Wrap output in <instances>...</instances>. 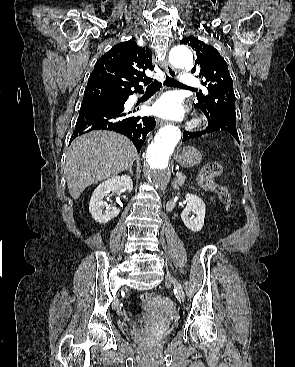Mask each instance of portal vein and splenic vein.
Here are the masks:
<instances>
[{"mask_svg":"<svg viewBox=\"0 0 295 367\" xmlns=\"http://www.w3.org/2000/svg\"><path fill=\"white\" fill-rule=\"evenodd\" d=\"M181 175H182V173H181V172H177V173H176V176H177V177H179V176H181Z\"/></svg>","mask_w":295,"mask_h":367,"instance_id":"obj_1","label":"portal vein and splenic vein"}]
</instances>
